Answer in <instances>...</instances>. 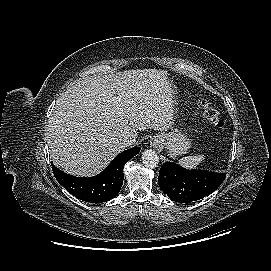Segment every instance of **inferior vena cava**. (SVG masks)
Returning <instances> with one entry per match:
<instances>
[{
  "label": "inferior vena cava",
  "mask_w": 271,
  "mask_h": 271,
  "mask_svg": "<svg viewBox=\"0 0 271 271\" xmlns=\"http://www.w3.org/2000/svg\"><path fill=\"white\" fill-rule=\"evenodd\" d=\"M133 143L134 139L129 134H123L118 140L119 147L123 149L131 146Z\"/></svg>",
  "instance_id": "inferior-vena-cava-1"
}]
</instances>
